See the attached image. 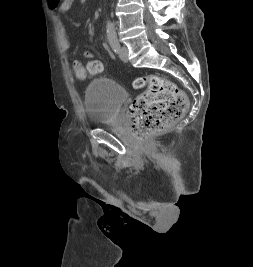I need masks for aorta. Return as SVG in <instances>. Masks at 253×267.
Masks as SVG:
<instances>
[{
  "label": "aorta",
  "mask_w": 253,
  "mask_h": 267,
  "mask_svg": "<svg viewBox=\"0 0 253 267\" xmlns=\"http://www.w3.org/2000/svg\"><path fill=\"white\" fill-rule=\"evenodd\" d=\"M107 28H113V24H112V22H109V20L107 22Z\"/></svg>",
  "instance_id": "762f6f07"
}]
</instances>
